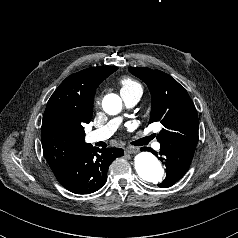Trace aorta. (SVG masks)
<instances>
[{
  "instance_id": "762f6f07",
  "label": "aorta",
  "mask_w": 238,
  "mask_h": 238,
  "mask_svg": "<svg viewBox=\"0 0 238 238\" xmlns=\"http://www.w3.org/2000/svg\"><path fill=\"white\" fill-rule=\"evenodd\" d=\"M103 110L109 115H116L122 110V100L116 94H108L102 101ZM135 170L139 177L151 184L163 181L164 169L159 160L150 152H140L134 159Z\"/></svg>"
}]
</instances>
